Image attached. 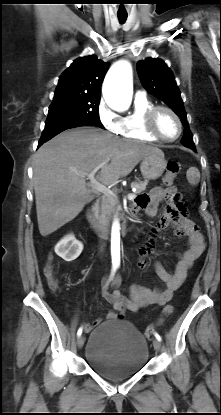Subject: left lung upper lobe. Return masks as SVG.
<instances>
[{"label":"left lung upper lobe","mask_w":221,"mask_h":415,"mask_svg":"<svg viewBox=\"0 0 221 415\" xmlns=\"http://www.w3.org/2000/svg\"><path fill=\"white\" fill-rule=\"evenodd\" d=\"M137 71L143 87L164 101L180 117L185 128L181 143L191 149L195 148L180 90L166 63L158 58H147L137 62Z\"/></svg>","instance_id":"5c2ea615"}]
</instances>
